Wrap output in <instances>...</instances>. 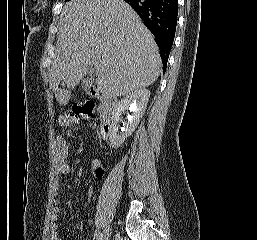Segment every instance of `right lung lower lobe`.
I'll return each instance as SVG.
<instances>
[{
    "label": "right lung lower lobe",
    "mask_w": 257,
    "mask_h": 240,
    "mask_svg": "<svg viewBox=\"0 0 257 240\" xmlns=\"http://www.w3.org/2000/svg\"><path fill=\"white\" fill-rule=\"evenodd\" d=\"M140 16L156 38L166 70L173 44L178 16V0H124Z\"/></svg>",
    "instance_id": "right-lung-lower-lobe-1"
}]
</instances>
